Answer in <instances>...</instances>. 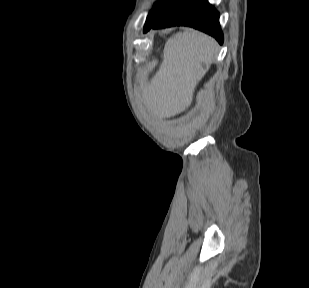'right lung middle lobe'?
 <instances>
[{
  "mask_svg": "<svg viewBox=\"0 0 309 288\" xmlns=\"http://www.w3.org/2000/svg\"><path fill=\"white\" fill-rule=\"evenodd\" d=\"M183 0H160L156 3L154 9L147 16L145 27L154 24L158 21L164 14L178 7Z\"/></svg>",
  "mask_w": 309,
  "mask_h": 288,
  "instance_id": "1",
  "label": "right lung middle lobe"
}]
</instances>
